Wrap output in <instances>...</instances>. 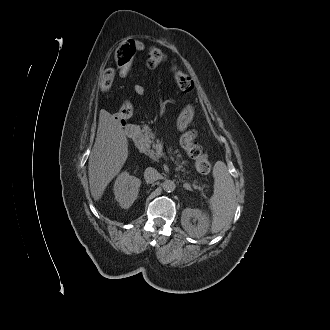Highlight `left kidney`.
<instances>
[{"instance_id":"obj_1","label":"left kidney","mask_w":330,"mask_h":330,"mask_svg":"<svg viewBox=\"0 0 330 330\" xmlns=\"http://www.w3.org/2000/svg\"><path fill=\"white\" fill-rule=\"evenodd\" d=\"M191 219L197 221V224H192ZM181 225L191 237H202L209 229L210 220L202 210L186 208L182 212Z\"/></svg>"}]
</instances>
